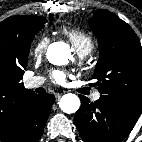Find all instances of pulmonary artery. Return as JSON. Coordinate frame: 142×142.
I'll return each mask as SVG.
<instances>
[{
    "instance_id": "1",
    "label": "pulmonary artery",
    "mask_w": 142,
    "mask_h": 142,
    "mask_svg": "<svg viewBox=\"0 0 142 142\" xmlns=\"http://www.w3.org/2000/svg\"><path fill=\"white\" fill-rule=\"evenodd\" d=\"M45 79L41 76H33L28 78L25 81L26 88L33 89L40 87L44 83ZM100 98V94L98 92H95L93 94V100H98Z\"/></svg>"
}]
</instances>
